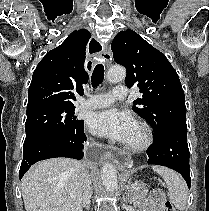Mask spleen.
I'll list each match as a JSON object with an SVG mask.
<instances>
[{
  "label": "spleen",
  "mask_w": 209,
  "mask_h": 211,
  "mask_svg": "<svg viewBox=\"0 0 209 211\" xmlns=\"http://www.w3.org/2000/svg\"><path fill=\"white\" fill-rule=\"evenodd\" d=\"M153 170L165 181L171 202L178 210H184L187 205L188 188L183 178L175 171L166 167L154 166Z\"/></svg>",
  "instance_id": "3e777b00"
}]
</instances>
